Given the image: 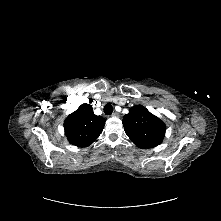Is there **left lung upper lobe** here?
Listing matches in <instances>:
<instances>
[{
    "label": "left lung upper lobe",
    "mask_w": 221,
    "mask_h": 221,
    "mask_svg": "<svg viewBox=\"0 0 221 221\" xmlns=\"http://www.w3.org/2000/svg\"><path fill=\"white\" fill-rule=\"evenodd\" d=\"M122 123L128 137L139 148L156 147L164 139L166 131L164 122L142 105L133 106L123 117Z\"/></svg>",
    "instance_id": "obj_1"
}]
</instances>
